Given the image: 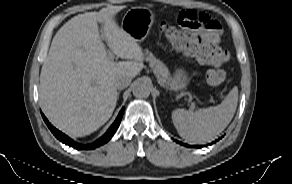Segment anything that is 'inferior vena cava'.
Segmentation results:
<instances>
[{
  "instance_id": "inferior-vena-cava-1",
  "label": "inferior vena cava",
  "mask_w": 292,
  "mask_h": 184,
  "mask_svg": "<svg viewBox=\"0 0 292 184\" xmlns=\"http://www.w3.org/2000/svg\"><path fill=\"white\" fill-rule=\"evenodd\" d=\"M131 82V78L128 76H120L117 78L115 85L118 89L126 88Z\"/></svg>"
}]
</instances>
